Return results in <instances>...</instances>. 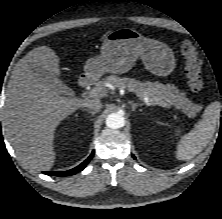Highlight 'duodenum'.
I'll use <instances>...</instances> for the list:
<instances>
[{"label":"duodenum","mask_w":222,"mask_h":219,"mask_svg":"<svg viewBox=\"0 0 222 219\" xmlns=\"http://www.w3.org/2000/svg\"><path fill=\"white\" fill-rule=\"evenodd\" d=\"M88 83V78L87 77H82L79 81V84L81 87H85Z\"/></svg>","instance_id":"410a0bca"}]
</instances>
